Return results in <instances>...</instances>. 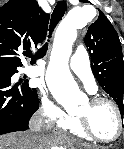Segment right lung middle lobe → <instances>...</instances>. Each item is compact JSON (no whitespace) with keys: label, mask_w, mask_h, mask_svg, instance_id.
<instances>
[{"label":"right lung middle lobe","mask_w":124,"mask_h":149,"mask_svg":"<svg viewBox=\"0 0 124 149\" xmlns=\"http://www.w3.org/2000/svg\"><path fill=\"white\" fill-rule=\"evenodd\" d=\"M0 71H6L9 74L16 73L17 70L15 68H0Z\"/></svg>","instance_id":"obj_1"}]
</instances>
